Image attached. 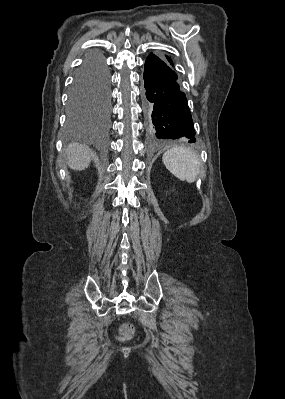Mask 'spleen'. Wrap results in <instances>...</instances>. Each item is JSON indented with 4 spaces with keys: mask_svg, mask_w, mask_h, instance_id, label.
Returning a JSON list of instances; mask_svg holds the SVG:
<instances>
[{
    "mask_svg": "<svg viewBox=\"0 0 285 399\" xmlns=\"http://www.w3.org/2000/svg\"><path fill=\"white\" fill-rule=\"evenodd\" d=\"M166 168L178 179L193 183L201 167L199 156L190 148L175 146L166 151L162 157Z\"/></svg>",
    "mask_w": 285,
    "mask_h": 399,
    "instance_id": "1",
    "label": "spleen"
}]
</instances>
